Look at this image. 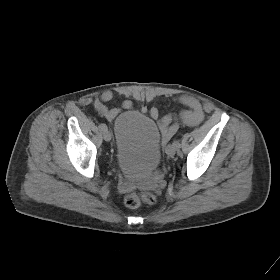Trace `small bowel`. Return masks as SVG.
Instances as JSON below:
<instances>
[{"label": "small bowel", "instance_id": "small-bowel-1", "mask_svg": "<svg viewBox=\"0 0 280 280\" xmlns=\"http://www.w3.org/2000/svg\"><path fill=\"white\" fill-rule=\"evenodd\" d=\"M113 99V92L110 90L104 91L96 100L94 101V108L96 112L108 119H114L120 110L118 108H110L107 103ZM177 101L186 107L178 116L168 114L160 117L157 108L153 107L150 109V115L152 118L158 121V126L162 134L163 143L168 142L171 137L176 133L178 129V122L183 123L186 126H197L204 120V111L200 102L190 96H180ZM132 102L130 100H124L122 102L123 109L132 108Z\"/></svg>", "mask_w": 280, "mask_h": 280}]
</instances>
